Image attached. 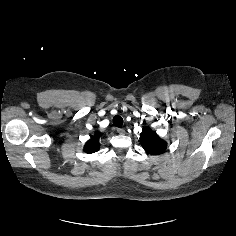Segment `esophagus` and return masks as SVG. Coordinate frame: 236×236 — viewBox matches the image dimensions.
<instances>
[{
    "label": "esophagus",
    "mask_w": 236,
    "mask_h": 236,
    "mask_svg": "<svg viewBox=\"0 0 236 236\" xmlns=\"http://www.w3.org/2000/svg\"><path fill=\"white\" fill-rule=\"evenodd\" d=\"M117 133L120 134V135H123V134H125V130L122 129V128H118Z\"/></svg>",
    "instance_id": "esophagus-1"
}]
</instances>
